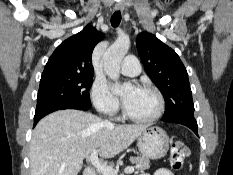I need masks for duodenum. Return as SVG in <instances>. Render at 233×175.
Returning a JSON list of instances; mask_svg holds the SVG:
<instances>
[{"instance_id":"obj_1","label":"duodenum","mask_w":233,"mask_h":175,"mask_svg":"<svg viewBox=\"0 0 233 175\" xmlns=\"http://www.w3.org/2000/svg\"><path fill=\"white\" fill-rule=\"evenodd\" d=\"M84 175H97V174L95 168L87 167L84 171Z\"/></svg>"}]
</instances>
